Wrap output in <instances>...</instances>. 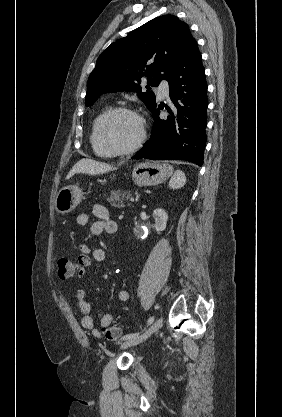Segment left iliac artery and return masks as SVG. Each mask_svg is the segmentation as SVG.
Returning a JSON list of instances; mask_svg holds the SVG:
<instances>
[{
  "label": "left iliac artery",
  "mask_w": 282,
  "mask_h": 417,
  "mask_svg": "<svg viewBox=\"0 0 282 417\" xmlns=\"http://www.w3.org/2000/svg\"><path fill=\"white\" fill-rule=\"evenodd\" d=\"M153 321H154V317H150V318L148 319V321H147V324H148V325H151V324L153 323ZM137 335H139V333H130V334L124 335V336L122 337V340H129V339H131V338H133V337H135V336H137Z\"/></svg>",
  "instance_id": "obj_1"
}]
</instances>
